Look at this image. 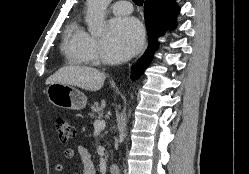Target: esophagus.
Returning <instances> with one entry per match:
<instances>
[{"instance_id": "1", "label": "esophagus", "mask_w": 249, "mask_h": 174, "mask_svg": "<svg viewBox=\"0 0 249 174\" xmlns=\"http://www.w3.org/2000/svg\"><path fill=\"white\" fill-rule=\"evenodd\" d=\"M146 47H147V44L145 45V48H144V50L146 49ZM144 50H143V52H144ZM143 52H142V53H143ZM142 53H141V54H142Z\"/></svg>"}]
</instances>
